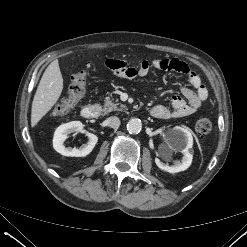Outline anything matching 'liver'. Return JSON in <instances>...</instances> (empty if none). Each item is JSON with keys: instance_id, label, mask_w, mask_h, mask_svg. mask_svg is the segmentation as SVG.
Instances as JSON below:
<instances>
[{"instance_id": "obj_1", "label": "liver", "mask_w": 247, "mask_h": 247, "mask_svg": "<svg viewBox=\"0 0 247 247\" xmlns=\"http://www.w3.org/2000/svg\"><path fill=\"white\" fill-rule=\"evenodd\" d=\"M63 90V78L57 60L44 71L33 98L31 108V126L37 123L57 103Z\"/></svg>"}]
</instances>
